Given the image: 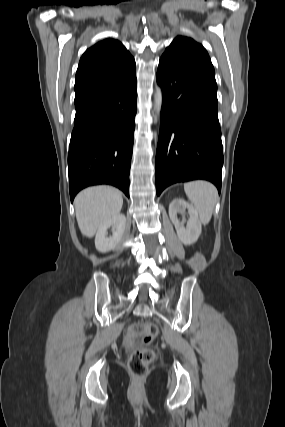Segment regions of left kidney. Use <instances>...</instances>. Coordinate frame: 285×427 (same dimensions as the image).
Segmentation results:
<instances>
[{"mask_svg": "<svg viewBox=\"0 0 285 427\" xmlns=\"http://www.w3.org/2000/svg\"><path fill=\"white\" fill-rule=\"evenodd\" d=\"M185 209L188 210L189 220L186 226L184 221L180 222L177 214ZM169 217L175 226L177 236L184 245H191L195 243L201 234V221L199 220L198 213L193 206L188 204L183 199H174L169 205Z\"/></svg>", "mask_w": 285, "mask_h": 427, "instance_id": "obj_1", "label": "left kidney"}]
</instances>
